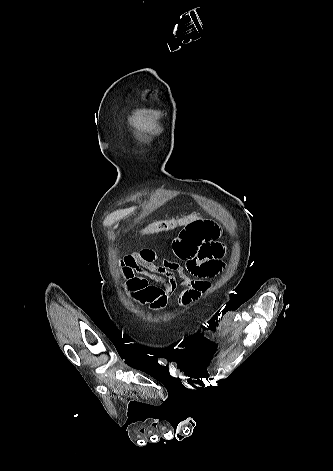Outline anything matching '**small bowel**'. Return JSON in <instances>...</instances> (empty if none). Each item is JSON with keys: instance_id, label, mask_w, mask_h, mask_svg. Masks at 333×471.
I'll list each match as a JSON object with an SVG mask.
<instances>
[{"instance_id": "small-bowel-1", "label": "small bowel", "mask_w": 333, "mask_h": 471, "mask_svg": "<svg viewBox=\"0 0 333 471\" xmlns=\"http://www.w3.org/2000/svg\"><path fill=\"white\" fill-rule=\"evenodd\" d=\"M220 228L210 219L196 218L173 240L175 255L184 262L160 258L152 250L125 256L119 263L125 292L139 305L153 312L166 307L177 289L178 305L187 307L209 289L210 279L223 269L224 246Z\"/></svg>"}]
</instances>
